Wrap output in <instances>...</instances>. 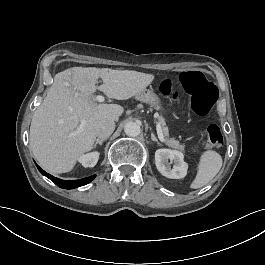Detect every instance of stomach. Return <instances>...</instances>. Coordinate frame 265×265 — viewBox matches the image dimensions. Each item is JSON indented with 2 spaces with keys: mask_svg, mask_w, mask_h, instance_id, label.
Returning <instances> with one entry per match:
<instances>
[{
  "mask_svg": "<svg viewBox=\"0 0 265 265\" xmlns=\"http://www.w3.org/2000/svg\"><path fill=\"white\" fill-rule=\"evenodd\" d=\"M135 98L141 102L147 103L155 109H160V100L158 96L149 89H143L135 95Z\"/></svg>",
  "mask_w": 265,
  "mask_h": 265,
  "instance_id": "1",
  "label": "stomach"
}]
</instances>
